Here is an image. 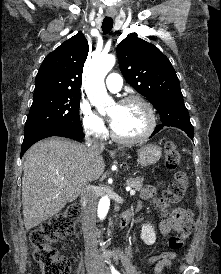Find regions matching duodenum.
<instances>
[{"mask_svg":"<svg viewBox=\"0 0 221 274\" xmlns=\"http://www.w3.org/2000/svg\"><path fill=\"white\" fill-rule=\"evenodd\" d=\"M134 214V209H127L125 210L121 216H120V219H119V226L121 228H124L126 227L129 222H130V219L132 217V215Z\"/></svg>","mask_w":221,"mask_h":274,"instance_id":"duodenum-1","label":"duodenum"}]
</instances>
